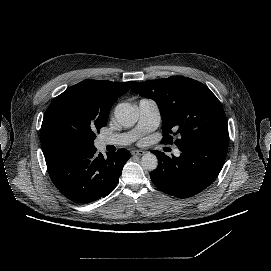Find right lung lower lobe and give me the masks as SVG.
Masks as SVG:
<instances>
[{
	"mask_svg": "<svg viewBox=\"0 0 271 271\" xmlns=\"http://www.w3.org/2000/svg\"><path fill=\"white\" fill-rule=\"evenodd\" d=\"M96 151L93 146L44 154L52 182L68 199L89 203L107 196L116 187L130 152L119 149L104 158Z\"/></svg>",
	"mask_w": 271,
	"mask_h": 271,
	"instance_id": "98d812e1",
	"label": "right lung lower lobe"
}]
</instances>
